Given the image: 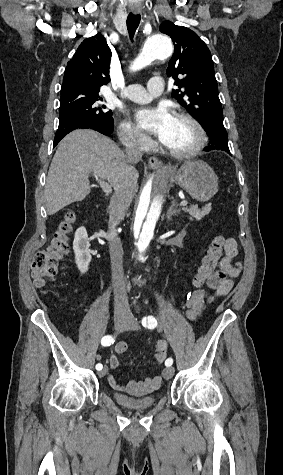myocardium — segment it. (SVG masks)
Instances as JSON below:
<instances>
[{
	"mask_svg": "<svg viewBox=\"0 0 283 475\" xmlns=\"http://www.w3.org/2000/svg\"><path fill=\"white\" fill-rule=\"evenodd\" d=\"M177 117L186 120L195 128L197 132L196 142L189 150L184 152L171 151L164 145L163 142H161V146L170 158L176 161H185L196 157L203 150L207 141V132L203 124L192 114L180 111L177 114Z\"/></svg>",
	"mask_w": 283,
	"mask_h": 475,
	"instance_id": "1",
	"label": "myocardium"
}]
</instances>
